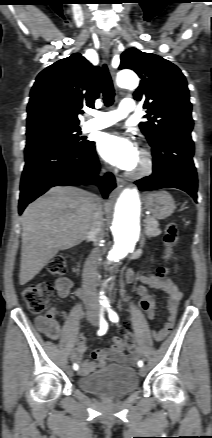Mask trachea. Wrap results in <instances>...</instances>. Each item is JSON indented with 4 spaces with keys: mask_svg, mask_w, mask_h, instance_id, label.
I'll use <instances>...</instances> for the list:
<instances>
[{
    "mask_svg": "<svg viewBox=\"0 0 212 438\" xmlns=\"http://www.w3.org/2000/svg\"><path fill=\"white\" fill-rule=\"evenodd\" d=\"M102 93L105 106H111L114 102L115 90L106 64L102 66Z\"/></svg>",
    "mask_w": 212,
    "mask_h": 438,
    "instance_id": "3493384b",
    "label": "trachea"
}]
</instances>
